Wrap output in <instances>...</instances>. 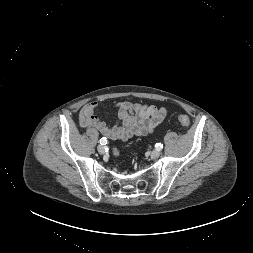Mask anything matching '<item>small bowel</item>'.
Masks as SVG:
<instances>
[{
    "label": "small bowel",
    "mask_w": 253,
    "mask_h": 253,
    "mask_svg": "<svg viewBox=\"0 0 253 253\" xmlns=\"http://www.w3.org/2000/svg\"><path fill=\"white\" fill-rule=\"evenodd\" d=\"M99 107L96 101L84 105L79 114L80 125L95 128L105 137L120 141L152 133L166 116L164 107L124 101L116 105L119 123L109 126L97 116Z\"/></svg>",
    "instance_id": "obj_1"
}]
</instances>
